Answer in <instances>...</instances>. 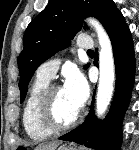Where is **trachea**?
<instances>
[{
    "mask_svg": "<svg viewBox=\"0 0 139 150\" xmlns=\"http://www.w3.org/2000/svg\"><path fill=\"white\" fill-rule=\"evenodd\" d=\"M87 53H93V51L92 50H88Z\"/></svg>",
    "mask_w": 139,
    "mask_h": 150,
    "instance_id": "obj_1",
    "label": "trachea"
}]
</instances>
